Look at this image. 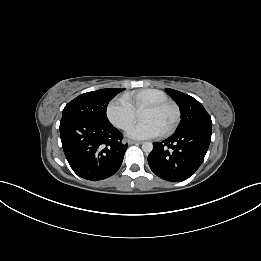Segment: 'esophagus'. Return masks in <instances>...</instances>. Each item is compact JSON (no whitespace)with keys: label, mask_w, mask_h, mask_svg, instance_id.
Segmentation results:
<instances>
[{"label":"esophagus","mask_w":261,"mask_h":261,"mask_svg":"<svg viewBox=\"0 0 261 261\" xmlns=\"http://www.w3.org/2000/svg\"><path fill=\"white\" fill-rule=\"evenodd\" d=\"M127 143H128L129 145H132V144H136V145L142 144L141 141H135V140H127Z\"/></svg>","instance_id":"esophagus-1"}]
</instances>
